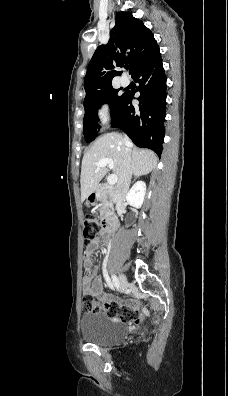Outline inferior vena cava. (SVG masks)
Segmentation results:
<instances>
[{"label":"inferior vena cava","mask_w":228,"mask_h":396,"mask_svg":"<svg viewBox=\"0 0 228 396\" xmlns=\"http://www.w3.org/2000/svg\"><path fill=\"white\" fill-rule=\"evenodd\" d=\"M124 141L126 146L128 147L130 140L125 136ZM130 151L131 150L127 148L122 164L121 174L119 176L118 183L115 187L113 194L114 202L122 200L125 197L131 183L132 171L130 165Z\"/></svg>","instance_id":"obj_1"}]
</instances>
